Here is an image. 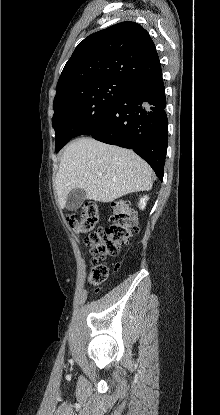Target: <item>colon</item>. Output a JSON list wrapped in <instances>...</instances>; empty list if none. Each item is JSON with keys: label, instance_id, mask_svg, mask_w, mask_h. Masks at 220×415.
Listing matches in <instances>:
<instances>
[{"label": "colon", "instance_id": "obj_1", "mask_svg": "<svg viewBox=\"0 0 220 415\" xmlns=\"http://www.w3.org/2000/svg\"><path fill=\"white\" fill-rule=\"evenodd\" d=\"M110 223L100 228L102 213L94 202H88L77 214L66 218L69 229L86 236L85 244L93 255L89 281L94 286H103L109 277V267L102 262L107 256H116L137 231L135 214L125 200H117L111 206Z\"/></svg>", "mask_w": 220, "mask_h": 415}]
</instances>
